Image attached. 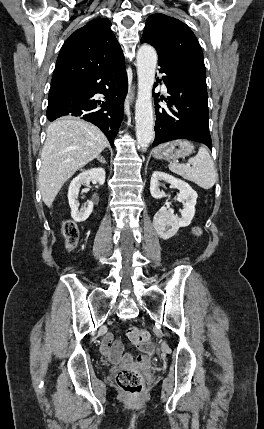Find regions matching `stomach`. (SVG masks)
Wrapping results in <instances>:
<instances>
[{"label": "stomach", "mask_w": 264, "mask_h": 429, "mask_svg": "<svg viewBox=\"0 0 264 429\" xmlns=\"http://www.w3.org/2000/svg\"><path fill=\"white\" fill-rule=\"evenodd\" d=\"M194 146L188 140H173L157 146L153 150L156 159L177 160L189 156L193 152Z\"/></svg>", "instance_id": "obj_1"}]
</instances>
